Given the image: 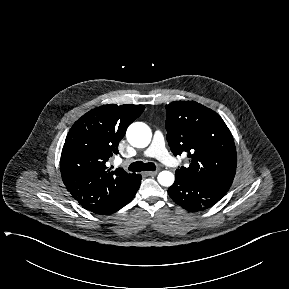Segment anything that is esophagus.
<instances>
[{
    "label": "esophagus",
    "instance_id": "obj_1",
    "mask_svg": "<svg viewBox=\"0 0 289 289\" xmlns=\"http://www.w3.org/2000/svg\"><path fill=\"white\" fill-rule=\"evenodd\" d=\"M145 174L148 176H154L157 174V171H146Z\"/></svg>",
    "mask_w": 289,
    "mask_h": 289
}]
</instances>
